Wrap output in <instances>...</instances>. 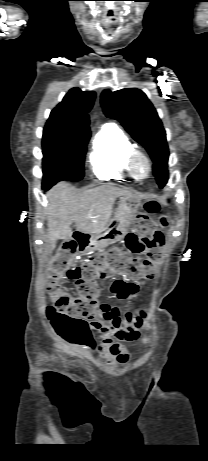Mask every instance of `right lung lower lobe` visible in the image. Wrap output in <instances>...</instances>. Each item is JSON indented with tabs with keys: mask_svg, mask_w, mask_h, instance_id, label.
Wrapping results in <instances>:
<instances>
[{
	"mask_svg": "<svg viewBox=\"0 0 208 461\" xmlns=\"http://www.w3.org/2000/svg\"><path fill=\"white\" fill-rule=\"evenodd\" d=\"M55 184H56V183H55ZM55 184H50V185H47V186H43L42 188H43V190L47 191V190H49V189H50L53 185H55Z\"/></svg>",
	"mask_w": 208,
	"mask_h": 461,
	"instance_id": "obj_1",
	"label": "right lung lower lobe"
}]
</instances>
